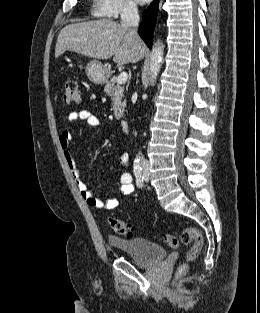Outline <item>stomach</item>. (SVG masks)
Segmentation results:
<instances>
[{"label":"stomach","instance_id":"obj_1","mask_svg":"<svg viewBox=\"0 0 260 313\" xmlns=\"http://www.w3.org/2000/svg\"><path fill=\"white\" fill-rule=\"evenodd\" d=\"M85 71L89 80L95 84L104 83L109 76L108 68L97 60L90 61Z\"/></svg>","mask_w":260,"mask_h":313}]
</instances>
